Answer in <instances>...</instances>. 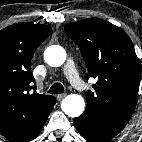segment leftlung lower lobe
<instances>
[{
  "label": "left lung lower lobe",
  "mask_w": 142,
  "mask_h": 142,
  "mask_svg": "<svg viewBox=\"0 0 142 142\" xmlns=\"http://www.w3.org/2000/svg\"><path fill=\"white\" fill-rule=\"evenodd\" d=\"M74 123L81 136L93 142H106L118 134L102 128L92 117L84 113L75 118Z\"/></svg>",
  "instance_id": "1"
}]
</instances>
